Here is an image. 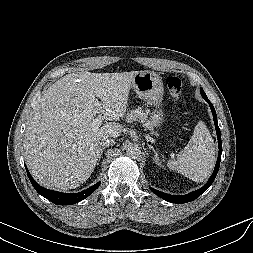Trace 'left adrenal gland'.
<instances>
[{"label": "left adrenal gland", "mask_w": 253, "mask_h": 253, "mask_svg": "<svg viewBox=\"0 0 253 253\" xmlns=\"http://www.w3.org/2000/svg\"><path fill=\"white\" fill-rule=\"evenodd\" d=\"M148 147L152 150L153 154H154V160H155V163L157 165H159L160 167H162L161 163L159 162V157H158V153L156 152V150L154 149V147L152 145H149L148 144Z\"/></svg>", "instance_id": "a2214340"}]
</instances>
